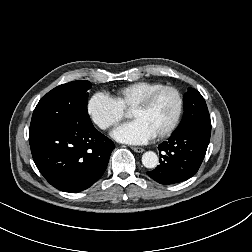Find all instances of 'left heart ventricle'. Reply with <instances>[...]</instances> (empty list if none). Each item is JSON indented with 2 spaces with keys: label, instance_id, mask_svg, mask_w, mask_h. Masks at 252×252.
Here are the masks:
<instances>
[{
  "label": "left heart ventricle",
  "instance_id": "b2bd125f",
  "mask_svg": "<svg viewBox=\"0 0 252 252\" xmlns=\"http://www.w3.org/2000/svg\"><path fill=\"white\" fill-rule=\"evenodd\" d=\"M177 110V98L171 91L159 94L153 103L143 110H133L130 116L143 121L155 134L166 129L172 122Z\"/></svg>",
  "mask_w": 252,
  "mask_h": 252
}]
</instances>
